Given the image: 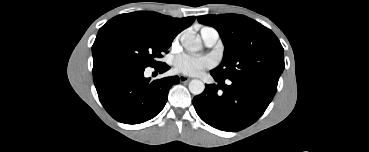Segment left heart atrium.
I'll list each match as a JSON object with an SVG mask.
<instances>
[{"instance_id": "1", "label": "left heart atrium", "mask_w": 369, "mask_h": 152, "mask_svg": "<svg viewBox=\"0 0 369 152\" xmlns=\"http://www.w3.org/2000/svg\"><path fill=\"white\" fill-rule=\"evenodd\" d=\"M211 66L212 60L209 57L192 54H183L174 60V68L177 72L191 76L199 75Z\"/></svg>"}]
</instances>
